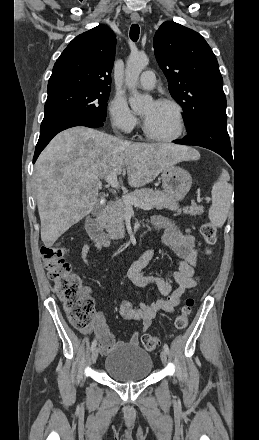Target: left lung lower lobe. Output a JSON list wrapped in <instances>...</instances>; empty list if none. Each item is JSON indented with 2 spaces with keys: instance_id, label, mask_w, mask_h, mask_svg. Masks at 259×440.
I'll use <instances>...</instances> for the list:
<instances>
[{
  "instance_id": "1",
  "label": "left lung lower lobe",
  "mask_w": 259,
  "mask_h": 440,
  "mask_svg": "<svg viewBox=\"0 0 259 440\" xmlns=\"http://www.w3.org/2000/svg\"><path fill=\"white\" fill-rule=\"evenodd\" d=\"M183 139L176 144L195 145L210 149L221 155L231 166L232 149L227 132V118L210 116L199 120Z\"/></svg>"
}]
</instances>
